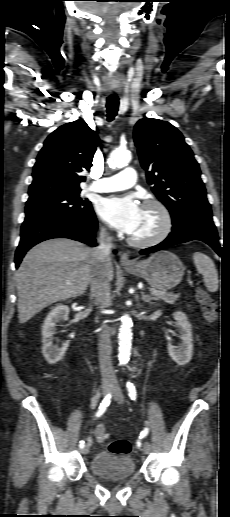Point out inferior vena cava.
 I'll return each mask as SVG.
<instances>
[{
    "label": "inferior vena cava",
    "mask_w": 230,
    "mask_h": 517,
    "mask_svg": "<svg viewBox=\"0 0 230 517\" xmlns=\"http://www.w3.org/2000/svg\"><path fill=\"white\" fill-rule=\"evenodd\" d=\"M112 238L105 228H102L99 235V245L94 249L98 265L90 279L91 297L95 299L100 308H106L111 303L110 278L108 269L111 266L110 253ZM111 330L104 324L99 334V363L101 375L104 380H114L115 373L112 366Z\"/></svg>",
    "instance_id": "inferior-vena-cava-1"
}]
</instances>
